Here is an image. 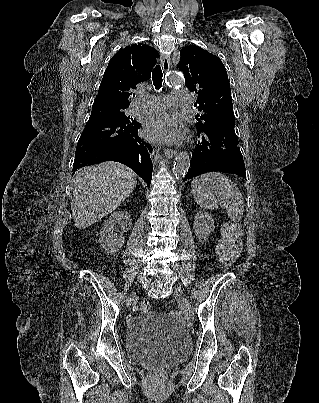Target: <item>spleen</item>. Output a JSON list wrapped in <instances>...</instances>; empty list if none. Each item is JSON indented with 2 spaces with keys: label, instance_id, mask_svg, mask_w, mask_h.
<instances>
[{
  "label": "spleen",
  "instance_id": "1",
  "mask_svg": "<svg viewBox=\"0 0 319 403\" xmlns=\"http://www.w3.org/2000/svg\"><path fill=\"white\" fill-rule=\"evenodd\" d=\"M196 203L205 209H226L233 222H239L244 213V200L237 185L219 172H209L196 177L191 183ZM216 196V197H215Z\"/></svg>",
  "mask_w": 319,
  "mask_h": 403
}]
</instances>
